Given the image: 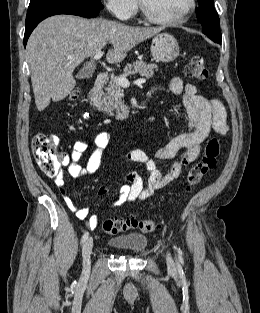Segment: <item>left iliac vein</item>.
Returning <instances> with one entry per match:
<instances>
[{
	"instance_id": "left-iliac-vein-1",
	"label": "left iliac vein",
	"mask_w": 260,
	"mask_h": 313,
	"mask_svg": "<svg viewBox=\"0 0 260 313\" xmlns=\"http://www.w3.org/2000/svg\"><path fill=\"white\" fill-rule=\"evenodd\" d=\"M166 260H167V264H168L169 268L174 269L175 264H174V261H173L171 255L169 253L166 256Z\"/></svg>"
}]
</instances>
